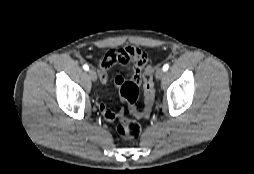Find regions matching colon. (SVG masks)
<instances>
[{"label":"colon","mask_w":254,"mask_h":174,"mask_svg":"<svg viewBox=\"0 0 254 174\" xmlns=\"http://www.w3.org/2000/svg\"><path fill=\"white\" fill-rule=\"evenodd\" d=\"M144 82V109L139 112L136 107V101L139 95L138 83L134 81L124 82L120 87V97L127 103L130 112L137 117H148L152 110L154 102V84H153V68L148 66L143 75ZM115 130L122 139H135L141 133L140 125L122 113L116 117Z\"/></svg>","instance_id":"colon-1"}]
</instances>
